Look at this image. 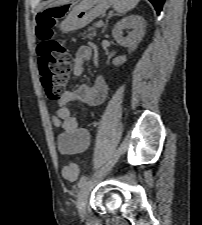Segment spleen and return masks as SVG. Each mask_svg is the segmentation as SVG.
I'll return each instance as SVG.
<instances>
[{"label": "spleen", "instance_id": "obj_1", "mask_svg": "<svg viewBox=\"0 0 202 225\" xmlns=\"http://www.w3.org/2000/svg\"><path fill=\"white\" fill-rule=\"evenodd\" d=\"M140 0H112L114 9L119 14H125L132 10Z\"/></svg>", "mask_w": 202, "mask_h": 225}]
</instances>
